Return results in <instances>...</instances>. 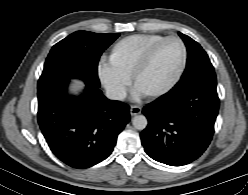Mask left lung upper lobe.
Here are the masks:
<instances>
[{
  "instance_id": "obj_1",
  "label": "left lung upper lobe",
  "mask_w": 248,
  "mask_h": 195,
  "mask_svg": "<svg viewBox=\"0 0 248 195\" xmlns=\"http://www.w3.org/2000/svg\"><path fill=\"white\" fill-rule=\"evenodd\" d=\"M186 44L188 59L186 69L177 85L182 89L202 83H216L214 68L203 48L189 36L178 32Z\"/></svg>"
}]
</instances>
